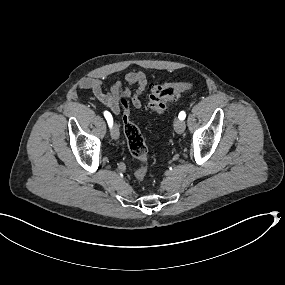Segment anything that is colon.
Masks as SVG:
<instances>
[{
  "instance_id": "5ec220e1",
  "label": "colon",
  "mask_w": 285,
  "mask_h": 285,
  "mask_svg": "<svg viewBox=\"0 0 285 285\" xmlns=\"http://www.w3.org/2000/svg\"><path fill=\"white\" fill-rule=\"evenodd\" d=\"M192 87L190 82L166 83L154 85L150 89L147 101V108L162 114L167 109L170 102L176 100L184 91ZM132 99L128 96L120 98L122 108L123 131L131 155L141 162V166L136 170L135 177L138 181H143L148 172V148L145 139L130 118V107Z\"/></svg>"
}]
</instances>
